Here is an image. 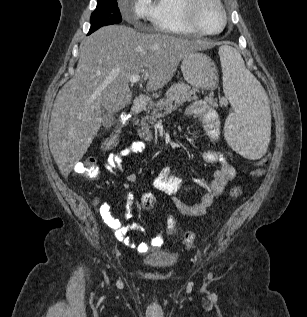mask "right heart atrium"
<instances>
[{"mask_svg":"<svg viewBox=\"0 0 307 317\" xmlns=\"http://www.w3.org/2000/svg\"><path fill=\"white\" fill-rule=\"evenodd\" d=\"M155 13L154 0H133L126 18L152 20Z\"/></svg>","mask_w":307,"mask_h":317,"instance_id":"1","label":"right heart atrium"}]
</instances>
